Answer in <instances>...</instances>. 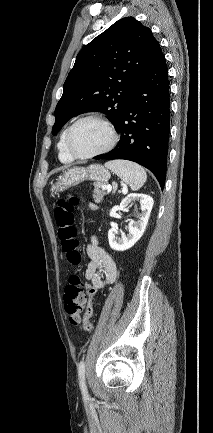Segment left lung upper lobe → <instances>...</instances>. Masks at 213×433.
I'll use <instances>...</instances> for the list:
<instances>
[{"mask_svg":"<svg viewBox=\"0 0 213 433\" xmlns=\"http://www.w3.org/2000/svg\"><path fill=\"white\" fill-rule=\"evenodd\" d=\"M159 49L151 30L133 17L118 20L97 36L79 52L66 78L52 134L72 117L93 111L110 116L116 129Z\"/></svg>","mask_w":213,"mask_h":433,"instance_id":"left-lung-upper-lobe-1","label":"left lung upper lobe"}]
</instances>
